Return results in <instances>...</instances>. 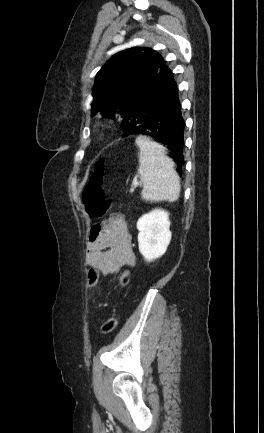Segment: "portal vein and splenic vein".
I'll use <instances>...</instances> for the list:
<instances>
[{
  "label": "portal vein and splenic vein",
  "instance_id": "18ae733b",
  "mask_svg": "<svg viewBox=\"0 0 264 433\" xmlns=\"http://www.w3.org/2000/svg\"><path fill=\"white\" fill-rule=\"evenodd\" d=\"M139 185V183H138V181H134L133 182V187L131 188V192H133L134 191V187H137Z\"/></svg>",
  "mask_w": 264,
  "mask_h": 433
}]
</instances>
